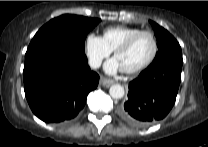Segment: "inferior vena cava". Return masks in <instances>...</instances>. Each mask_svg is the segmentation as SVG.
<instances>
[{
	"instance_id": "obj_1",
	"label": "inferior vena cava",
	"mask_w": 208,
	"mask_h": 147,
	"mask_svg": "<svg viewBox=\"0 0 208 147\" xmlns=\"http://www.w3.org/2000/svg\"><path fill=\"white\" fill-rule=\"evenodd\" d=\"M102 60L99 58H91L89 60V66L93 69L99 68L101 66Z\"/></svg>"
}]
</instances>
